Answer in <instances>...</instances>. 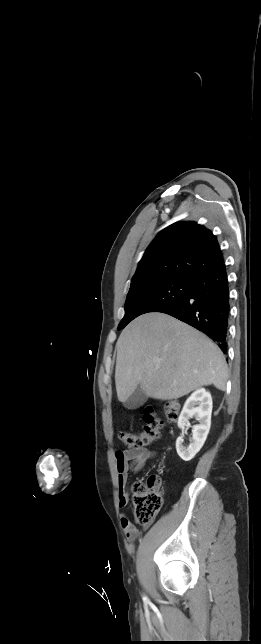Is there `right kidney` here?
Instances as JSON below:
<instances>
[{
	"label": "right kidney",
	"instance_id": "obj_1",
	"mask_svg": "<svg viewBox=\"0 0 261 644\" xmlns=\"http://www.w3.org/2000/svg\"><path fill=\"white\" fill-rule=\"evenodd\" d=\"M212 397L204 388L197 389L186 400L178 419L182 432L189 426V419L194 417L199 424L193 426L192 440L188 447L183 445V435L176 440V450L184 461H190L202 448L211 425Z\"/></svg>",
	"mask_w": 261,
	"mask_h": 644
}]
</instances>
